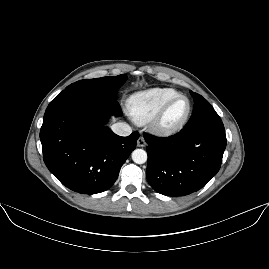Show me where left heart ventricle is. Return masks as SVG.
Here are the masks:
<instances>
[{
	"mask_svg": "<svg viewBox=\"0 0 269 269\" xmlns=\"http://www.w3.org/2000/svg\"><path fill=\"white\" fill-rule=\"evenodd\" d=\"M186 109H187V101L183 98L177 100L167 114L165 120L166 124L172 126L178 123L184 116Z\"/></svg>",
	"mask_w": 269,
	"mask_h": 269,
	"instance_id": "left-heart-ventricle-1",
	"label": "left heart ventricle"
}]
</instances>
